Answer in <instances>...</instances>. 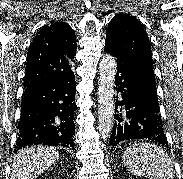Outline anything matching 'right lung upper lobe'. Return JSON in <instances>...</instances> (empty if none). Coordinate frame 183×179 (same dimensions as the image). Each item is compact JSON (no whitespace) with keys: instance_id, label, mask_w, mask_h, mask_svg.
Wrapping results in <instances>:
<instances>
[{"instance_id":"obj_1","label":"right lung upper lobe","mask_w":183,"mask_h":179,"mask_svg":"<svg viewBox=\"0 0 183 179\" xmlns=\"http://www.w3.org/2000/svg\"><path fill=\"white\" fill-rule=\"evenodd\" d=\"M76 49V36L68 24L54 22L44 26L28 50L25 86L40 79L67 81L75 78L71 61Z\"/></svg>"}]
</instances>
